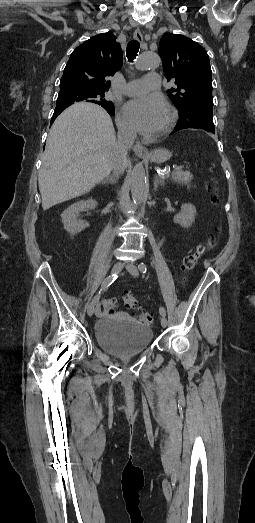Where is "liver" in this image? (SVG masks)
<instances>
[{
	"mask_svg": "<svg viewBox=\"0 0 255 523\" xmlns=\"http://www.w3.org/2000/svg\"><path fill=\"white\" fill-rule=\"evenodd\" d=\"M113 122L97 104L79 102L56 118L39 170L43 210L90 192L108 178L117 154Z\"/></svg>",
	"mask_w": 255,
	"mask_h": 523,
	"instance_id": "1",
	"label": "liver"
}]
</instances>
